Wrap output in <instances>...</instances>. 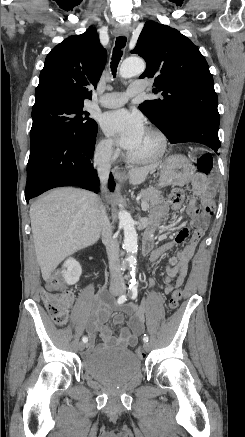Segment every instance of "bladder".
<instances>
[{
	"mask_svg": "<svg viewBox=\"0 0 245 437\" xmlns=\"http://www.w3.org/2000/svg\"><path fill=\"white\" fill-rule=\"evenodd\" d=\"M82 368L99 382L118 386L128 383L140 372L141 361L129 349L97 348L84 356Z\"/></svg>",
	"mask_w": 245,
	"mask_h": 437,
	"instance_id": "1",
	"label": "bladder"
}]
</instances>
